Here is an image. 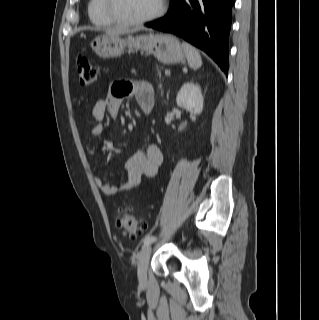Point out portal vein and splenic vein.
<instances>
[{"mask_svg":"<svg viewBox=\"0 0 319 320\" xmlns=\"http://www.w3.org/2000/svg\"><path fill=\"white\" fill-rule=\"evenodd\" d=\"M165 75L166 76H170V71L169 70H165Z\"/></svg>","mask_w":319,"mask_h":320,"instance_id":"1","label":"portal vein and splenic vein"}]
</instances>
